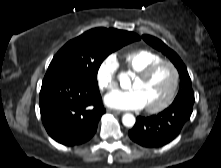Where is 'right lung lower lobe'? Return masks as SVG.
I'll return each mask as SVG.
<instances>
[{"mask_svg": "<svg viewBox=\"0 0 221 168\" xmlns=\"http://www.w3.org/2000/svg\"><path fill=\"white\" fill-rule=\"evenodd\" d=\"M39 106L48 134L68 146L91 139L106 112L98 85L72 75H45Z\"/></svg>", "mask_w": 221, "mask_h": 168, "instance_id": "98d812e1", "label": "right lung lower lobe"}]
</instances>
